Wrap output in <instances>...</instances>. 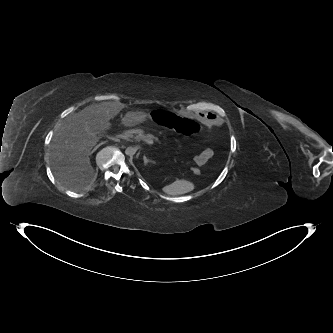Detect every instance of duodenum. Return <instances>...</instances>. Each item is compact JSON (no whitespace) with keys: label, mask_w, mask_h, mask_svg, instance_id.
Wrapping results in <instances>:
<instances>
[{"label":"duodenum","mask_w":333,"mask_h":333,"mask_svg":"<svg viewBox=\"0 0 333 333\" xmlns=\"http://www.w3.org/2000/svg\"><path fill=\"white\" fill-rule=\"evenodd\" d=\"M130 133L131 134H133V135H136V134H143L144 133V130L143 129H125V130H123L120 134L123 136V135H125V136H129L130 135Z\"/></svg>","instance_id":"duodenum-1"}]
</instances>
